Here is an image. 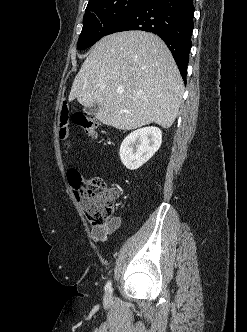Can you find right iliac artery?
<instances>
[{"mask_svg": "<svg viewBox=\"0 0 247 332\" xmlns=\"http://www.w3.org/2000/svg\"><path fill=\"white\" fill-rule=\"evenodd\" d=\"M105 291H112V288H111V281H108L106 286H105Z\"/></svg>", "mask_w": 247, "mask_h": 332, "instance_id": "right-iliac-artery-1", "label": "right iliac artery"}]
</instances>
